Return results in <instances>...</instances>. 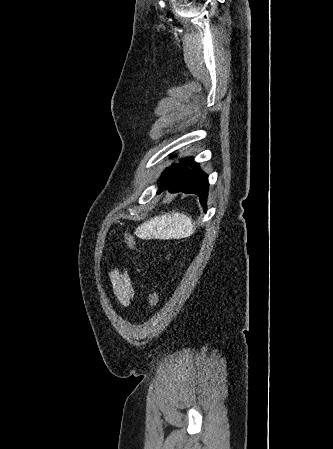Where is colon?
<instances>
[{
	"label": "colon",
	"mask_w": 333,
	"mask_h": 449,
	"mask_svg": "<svg viewBox=\"0 0 333 449\" xmlns=\"http://www.w3.org/2000/svg\"><path fill=\"white\" fill-rule=\"evenodd\" d=\"M124 241L127 246L133 251H139L136 238L129 232L124 233ZM148 303L151 307H155L159 303V295L156 291H151L148 295Z\"/></svg>",
	"instance_id": "obj_1"
}]
</instances>
